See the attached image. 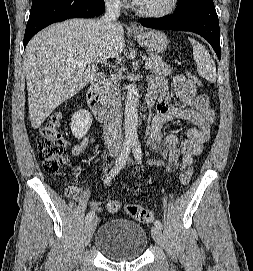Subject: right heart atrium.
Returning <instances> with one entry per match:
<instances>
[{
  "label": "right heart atrium",
  "instance_id": "obj_1",
  "mask_svg": "<svg viewBox=\"0 0 253 271\" xmlns=\"http://www.w3.org/2000/svg\"><path fill=\"white\" fill-rule=\"evenodd\" d=\"M107 1L115 5H120L124 2V0H107Z\"/></svg>",
  "mask_w": 253,
  "mask_h": 271
}]
</instances>
